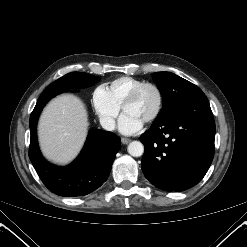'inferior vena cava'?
Instances as JSON below:
<instances>
[{"label": "inferior vena cava", "instance_id": "obj_1", "mask_svg": "<svg viewBox=\"0 0 247 247\" xmlns=\"http://www.w3.org/2000/svg\"><path fill=\"white\" fill-rule=\"evenodd\" d=\"M100 124L107 131H112L115 129V120L111 117H101Z\"/></svg>", "mask_w": 247, "mask_h": 247}]
</instances>
